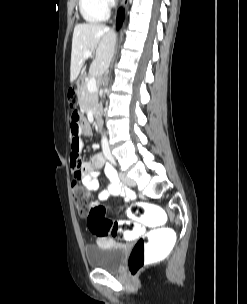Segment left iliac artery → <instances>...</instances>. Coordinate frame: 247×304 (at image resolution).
Wrapping results in <instances>:
<instances>
[{"mask_svg":"<svg viewBox=\"0 0 247 304\" xmlns=\"http://www.w3.org/2000/svg\"><path fill=\"white\" fill-rule=\"evenodd\" d=\"M109 160L111 161L112 164H114V165L116 164L113 157H109ZM116 175H117V174H116Z\"/></svg>","mask_w":247,"mask_h":304,"instance_id":"left-iliac-artery-1","label":"left iliac artery"}]
</instances>
